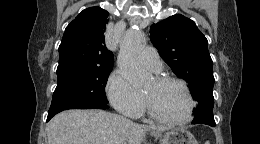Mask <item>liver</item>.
Returning a JSON list of instances; mask_svg holds the SVG:
<instances>
[{
  "label": "liver",
  "instance_id": "liver-1",
  "mask_svg": "<svg viewBox=\"0 0 260 144\" xmlns=\"http://www.w3.org/2000/svg\"><path fill=\"white\" fill-rule=\"evenodd\" d=\"M150 130L168 128L140 125L101 110H67L50 120L47 138L48 144H142Z\"/></svg>",
  "mask_w": 260,
  "mask_h": 144
}]
</instances>
